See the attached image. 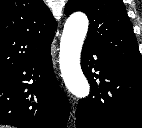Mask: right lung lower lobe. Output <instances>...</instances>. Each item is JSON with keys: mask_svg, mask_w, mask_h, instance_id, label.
<instances>
[{"mask_svg": "<svg viewBox=\"0 0 142 128\" xmlns=\"http://www.w3.org/2000/svg\"><path fill=\"white\" fill-rule=\"evenodd\" d=\"M69 103L59 88L50 47L0 76V125L65 128Z\"/></svg>", "mask_w": 142, "mask_h": 128, "instance_id": "right-lung-lower-lobe-1", "label": "right lung lower lobe"}]
</instances>
